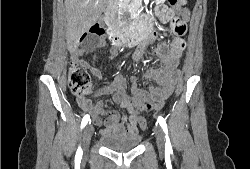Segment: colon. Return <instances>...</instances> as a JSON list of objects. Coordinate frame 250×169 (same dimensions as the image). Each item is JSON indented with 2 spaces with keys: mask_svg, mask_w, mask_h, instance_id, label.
Returning a JSON list of instances; mask_svg holds the SVG:
<instances>
[{
  "mask_svg": "<svg viewBox=\"0 0 250 169\" xmlns=\"http://www.w3.org/2000/svg\"><path fill=\"white\" fill-rule=\"evenodd\" d=\"M169 6L172 8H179L183 6L180 0H170ZM174 30L176 32L184 31V22L180 20L174 21ZM105 28L99 23L93 24L86 34H80L81 43L92 44L98 38L105 35ZM68 85L72 93L77 97H85L90 93L91 77L89 74L76 62L71 61L70 69L67 75ZM159 95H168V93H159ZM167 102V97H151L149 103H133V108H163V104ZM145 114H152V109H145ZM133 115L137 116V122L141 125V129L145 130L147 124L138 110H133Z\"/></svg>",
  "mask_w": 250,
  "mask_h": 169,
  "instance_id": "5ec220e1",
  "label": "colon"
}]
</instances>
